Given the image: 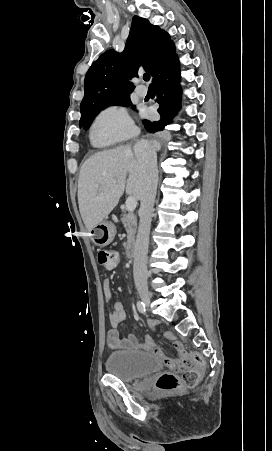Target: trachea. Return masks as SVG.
Returning <instances> with one entry per match:
<instances>
[{"mask_svg":"<svg viewBox=\"0 0 272 451\" xmlns=\"http://www.w3.org/2000/svg\"><path fill=\"white\" fill-rule=\"evenodd\" d=\"M143 79L145 80V82H148V80H150V74L149 73H144Z\"/></svg>","mask_w":272,"mask_h":451,"instance_id":"trachea-1","label":"trachea"}]
</instances>
